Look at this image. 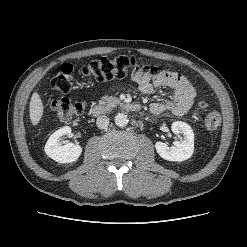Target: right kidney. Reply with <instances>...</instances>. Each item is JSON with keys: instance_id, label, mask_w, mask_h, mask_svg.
<instances>
[{"instance_id": "right-kidney-1", "label": "right kidney", "mask_w": 247, "mask_h": 247, "mask_svg": "<svg viewBox=\"0 0 247 247\" xmlns=\"http://www.w3.org/2000/svg\"><path fill=\"white\" fill-rule=\"evenodd\" d=\"M71 133V128L68 126L62 127L55 131L47 140L45 145V153L51 159L59 163H71L76 161L82 153V148L79 145L68 143L65 145L59 144V139L63 135Z\"/></svg>"}]
</instances>
